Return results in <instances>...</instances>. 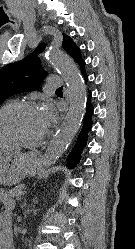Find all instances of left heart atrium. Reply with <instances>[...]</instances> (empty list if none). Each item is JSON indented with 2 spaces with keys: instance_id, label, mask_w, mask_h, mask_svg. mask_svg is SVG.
I'll list each match as a JSON object with an SVG mask.
<instances>
[{
  "instance_id": "39dd6f15",
  "label": "left heart atrium",
  "mask_w": 135,
  "mask_h": 249,
  "mask_svg": "<svg viewBox=\"0 0 135 249\" xmlns=\"http://www.w3.org/2000/svg\"><path fill=\"white\" fill-rule=\"evenodd\" d=\"M44 129L46 130L55 121V111L50 103H46L40 110Z\"/></svg>"
}]
</instances>
